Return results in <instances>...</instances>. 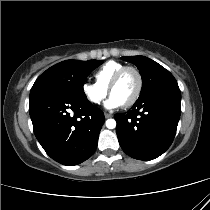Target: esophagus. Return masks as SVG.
<instances>
[{"instance_id": "obj_1", "label": "esophagus", "mask_w": 210, "mask_h": 210, "mask_svg": "<svg viewBox=\"0 0 210 210\" xmlns=\"http://www.w3.org/2000/svg\"><path fill=\"white\" fill-rule=\"evenodd\" d=\"M104 116H105V118H111L112 117V115L109 114V113H105Z\"/></svg>"}]
</instances>
